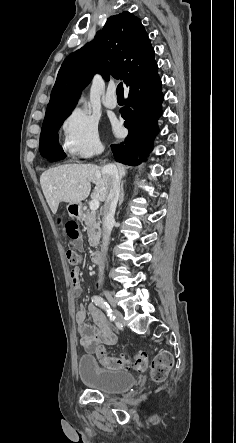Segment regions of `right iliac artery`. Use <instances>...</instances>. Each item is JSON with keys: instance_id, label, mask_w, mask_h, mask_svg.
<instances>
[{"instance_id": "82829eb1", "label": "right iliac artery", "mask_w": 236, "mask_h": 443, "mask_svg": "<svg viewBox=\"0 0 236 443\" xmlns=\"http://www.w3.org/2000/svg\"><path fill=\"white\" fill-rule=\"evenodd\" d=\"M92 302H94L97 306L101 307L102 309H104L107 312V316L109 317V319L111 321L115 320V316L112 313V309L110 308V306L107 304V302L104 301V299L100 296H94L92 298Z\"/></svg>"}]
</instances>
